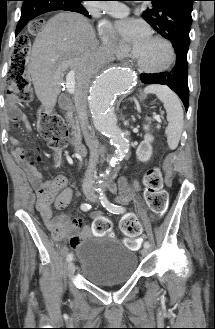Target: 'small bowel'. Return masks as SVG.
Instances as JSON below:
<instances>
[{
  "mask_svg": "<svg viewBox=\"0 0 215 329\" xmlns=\"http://www.w3.org/2000/svg\"><path fill=\"white\" fill-rule=\"evenodd\" d=\"M12 119L16 122H20L29 128L26 119L19 113L17 109L12 114ZM11 146L13 147V156L15 160L23 167L26 171L28 178L36 192V208L39 211L43 221L45 222L48 229L54 234V227L57 226L62 231H77L80 230V234L73 235L70 240V244L73 248H77L82 241L87 238L91 232L93 236H111L113 232V225H110V220H89V226H84L82 219H75L70 222L67 215L60 214L56 218L53 217L52 203L45 204L43 201V193L56 190L59 191L57 204L59 208H63L71 201L73 192L70 187H66L65 177H57L53 180L45 179L40 170L37 167L38 159L30 160L27 157L26 151L21 147V143L12 138L10 140ZM120 196L118 198L121 202H126L131 198V191L127 181L121 178L119 181ZM134 189L140 190L139 184L134 183ZM95 218H103L100 212L93 213ZM61 235V234H60ZM60 235H56L59 237ZM143 238L137 239L138 246L142 243Z\"/></svg>",
  "mask_w": 215,
  "mask_h": 329,
  "instance_id": "obj_1",
  "label": "small bowel"
}]
</instances>
